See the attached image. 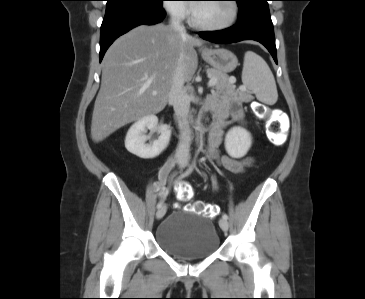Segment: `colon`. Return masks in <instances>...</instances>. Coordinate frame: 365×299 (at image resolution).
Listing matches in <instances>:
<instances>
[{
  "mask_svg": "<svg viewBox=\"0 0 365 299\" xmlns=\"http://www.w3.org/2000/svg\"><path fill=\"white\" fill-rule=\"evenodd\" d=\"M257 113L261 117L268 118L266 133L270 141L275 144H282L286 138V130L281 119V114H270L268 107L261 104L257 107ZM193 194V188L189 184L180 183L177 185V196L180 203L190 200ZM185 208L207 217H214L218 213V207L216 205L203 202H196L192 205L185 206Z\"/></svg>",
  "mask_w": 365,
  "mask_h": 299,
  "instance_id": "1",
  "label": "colon"
}]
</instances>
